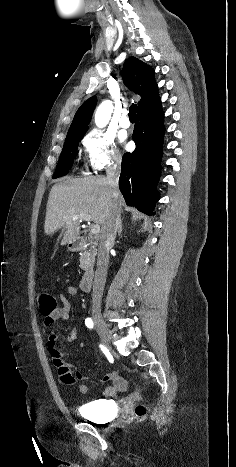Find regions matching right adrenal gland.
Masks as SVG:
<instances>
[{
  "mask_svg": "<svg viewBox=\"0 0 236 467\" xmlns=\"http://www.w3.org/2000/svg\"><path fill=\"white\" fill-rule=\"evenodd\" d=\"M121 232H122V219L120 220L119 222V227H118V236L121 235Z\"/></svg>",
  "mask_w": 236,
  "mask_h": 467,
  "instance_id": "right-adrenal-gland-1",
  "label": "right adrenal gland"
}]
</instances>
